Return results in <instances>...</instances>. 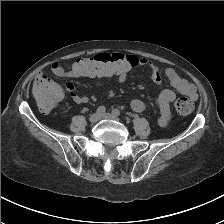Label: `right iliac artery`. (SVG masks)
Instances as JSON below:
<instances>
[{"label":"right iliac artery","instance_id":"1","mask_svg":"<svg viewBox=\"0 0 224 224\" xmlns=\"http://www.w3.org/2000/svg\"><path fill=\"white\" fill-rule=\"evenodd\" d=\"M99 115H103L106 112V108L104 106H99L96 110Z\"/></svg>","mask_w":224,"mask_h":224}]
</instances>
